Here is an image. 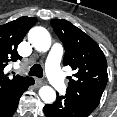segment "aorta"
<instances>
[{
  "label": "aorta",
  "mask_w": 117,
  "mask_h": 117,
  "mask_svg": "<svg viewBox=\"0 0 117 117\" xmlns=\"http://www.w3.org/2000/svg\"><path fill=\"white\" fill-rule=\"evenodd\" d=\"M28 40L32 46L38 50L45 52L51 46V37L49 32L40 26L33 27L28 33ZM40 98L47 104L53 103L56 99V92L50 86H43L39 90Z\"/></svg>",
  "instance_id": "762f6f07"
}]
</instances>
